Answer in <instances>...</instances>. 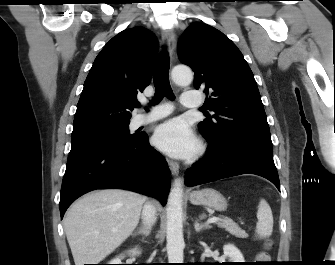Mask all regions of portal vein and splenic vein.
Wrapping results in <instances>:
<instances>
[{"mask_svg": "<svg viewBox=\"0 0 335 265\" xmlns=\"http://www.w3.org/2000/svg\"><path fill=\"white\" fill-rule=\"evenodd\" d=\"M220 219L218 217H211L207 220V223H215L218 222Z\"/></svg>", "mask_w": 335, "mask_h": 265, "instance_id": "obj_1", "label": "portal vein and splenic vein"}]
</instances>
